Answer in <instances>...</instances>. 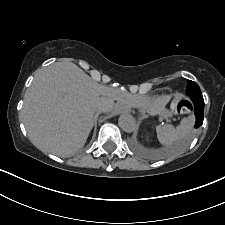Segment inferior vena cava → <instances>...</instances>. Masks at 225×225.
<instances>
[{
  "label": "inferior vena cava",
  "mask_w": 225,
  "mask_h": 225,
  "mask_svg": "<svg viewBox=\"0 0 225 225\" xmlns=\"http://www.w3.org/2000/svg\"><path fill=\"white\" fill-rule=\"evenodd\" d=\"M98 110H99V111H104L105 108H104L103 106H98Z\"/></svg>",
  "instance_id": "1"
}]
</instances>
